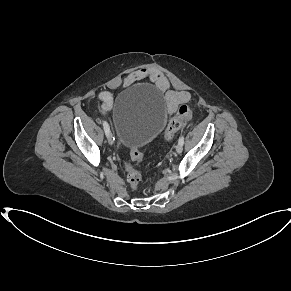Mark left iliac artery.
I'll list each match as a JSON object with an SVG mask.
<instances>
[{
	"mask_svg": "<svg viewBox=\"0 0 291 291\" xmlns=\"http://www.w3.org/2000/svg\"><path fill=\"white\" fill-rule=\"evenodd\" d=\"M179 142L182 143V144L184 143V136L183 135L180 136Z\"/></svg>",
	"mask_w": 291,
	"mask_h": 291,
	"instance_id": "left-iliac-artery-1",
	"label": "left iliac artery"
}]
</instances>
